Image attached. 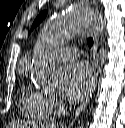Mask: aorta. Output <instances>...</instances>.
Returning <instances> with one entry per match:
<instances>
[{
    "instance_id": "762f6f07",
    "label": "aorta",
    "mask_w": 125,
    "mask_h": 128,
    "mask_svg": "<svg viewBox=\"0 0 125 128\" xmlns=\"http://www.w3.org/2000/svg\"><path fill=\"white\" fill-rule=\"evenodd\" d=\"M89 27L103 32L105 20L96 10L88 7L72 8L65 15L50 20L39 34V51L34 58L31 75L37 86L43 89H54L60 79L58 69L52 59L44 54L47 48L70 40L78 32Z\"/></svg>"
}]
</instances>
